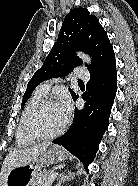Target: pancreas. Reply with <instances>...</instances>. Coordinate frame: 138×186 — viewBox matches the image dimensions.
Listing matches in <instances>:
<instances>
[{
	"label": "pancreas",
	"mask_w": 138,
	"mask_h": 186,
	"mask_svg": "<svg viewBox=\"0 0 138 186\" xmlns=\"http://www.w3.org/2000/svg\"><path fill=\"white\" fill-rule=\"evenodd\" d=\"M53 171H48L40 173L37 177L34 178L32 186H52L53 181H49L48 178Z\"/></svg>",
	"instance_id": "pancreas-1"
}]
</instances>
